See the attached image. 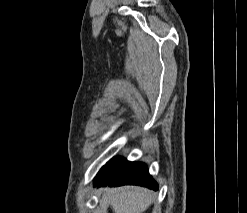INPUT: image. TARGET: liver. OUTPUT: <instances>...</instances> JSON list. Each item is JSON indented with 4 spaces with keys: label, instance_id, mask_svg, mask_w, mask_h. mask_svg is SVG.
I'll list each match as a JSON object with an SVG mask.
<instances>
[{
    "label": "liver",
    "instance_id": "1",
    "mask_svg": "<svg viewBox=\"0 0 247 213\" xmlns=\"http://www.w3.org/2000/svg\"><path fill=\"white\" fill-rule=\"evenodd\" d=\"M104 197L113 213H144L152 203L151 193L140 187L106 189Z\"/></svg>",
    "mask_w": 247,
    "mask_h": 213
}]
</instances>
